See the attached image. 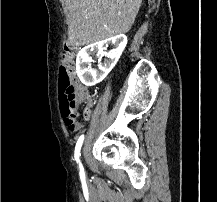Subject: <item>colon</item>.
Masks as SVG:
<instances>
[{"label": "colon", "instance_id": "colon-1", "mask_svg": "<svg viewBox=\"0 0 217 202\" xmlns=\"http://www.w3.org/2000/svg\"><path fill=\"white\" fill-rule=\"evenodd\" d=\"M76 52L77 47H66L65 55L61 59V64H66V67H59L60 75L58 76L60 80L58 96H61L59 102L64 111L60 112V117H66L64 124L71 131L84 127V124L79 122L80 113L76 110V103H89L91 97L90 93H80V98L74 99L75 91H82V86H76L74 82V73H76V68H79V63H74Z\"/></svg>", "mask_w": 217, "mask_h": 202}]
</instances>
